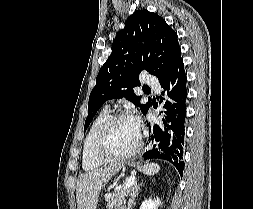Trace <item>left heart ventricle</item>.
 Wrapping results in <instances>:
<instances>
[{"instance_id":"b2bd125f","label":"left heart ventricle","mask_w":253,"mask_h":209,"mask_svg":"<svg viewBox=\"0 0 253 209\" xmlns=\"http://www.w3.org/2000/svg\"><path fill=\"white\" fill-rule=\"evenodd\" d=\"M137 138L138 130L131 119H121L110 126L103 149L112 156L123 155L135 146Z\"/></svg>"}]
</instances>
